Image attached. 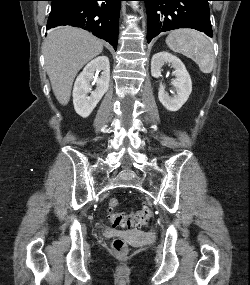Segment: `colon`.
<instances>
[{"label": "colon", "instance_id": "colon-1", "mask_svg": "<svg viewBox=\"0 0 250 285\" xmlns=\"http://www.w3.org/2000/svg\"><path fill=\"white\" fill-rule=\"evenodd\" d=\"M118 205L119 201L116 198H111L107 205L109 220L116 227L142 228L147 226L150 218L152 217V210L148 206H144L136 212L126 214L115 211ZM112 249L114 253L119 256H123L128 252L127 243L121 238L113 240Z\"/></svg>", "mask_w": 250, "mask_h": 285}]
</instances>
